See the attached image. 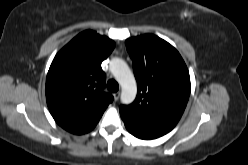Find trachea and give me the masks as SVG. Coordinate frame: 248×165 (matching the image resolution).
<instances>
[{"label":"trachea","instance_id":"trachea-1","mask_svg":"<svg viewBox=\"0 0 248 165\" xmlns=\"http://www.w3.org/2000/svg\"><path fill=\"white\" fill-rule=\"evenodd\" d=\"M107 89L111 92H117L119 89V85L115 80H109L107 82Z\"/></svg>","mask_w":248,"mask_h":165}]
</instances>
